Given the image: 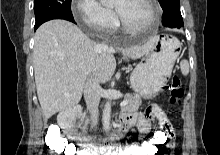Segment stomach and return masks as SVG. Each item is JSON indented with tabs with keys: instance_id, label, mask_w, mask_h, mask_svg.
<instances>
[{
	"instance_id": "obj_1",
	"label": "stomach",
	"mask_w": 220,
	"mask_h": 155,
	"mask_svg": "<svg viewBox=\"0 0 220 155\" xmlns=\"http://www.w3.org/2000/svg\"><path fill=\"white\" fill-rule=\"evenodd\" d=\"M179 46L175 37H155L152 49L130 76L131 88L145 98L156 96L171 77Z\"/></svg>"
}]
</instances>
